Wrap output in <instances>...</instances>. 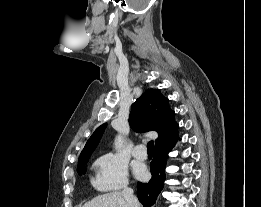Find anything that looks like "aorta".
Instances as JSON below:
<instances>
[{"instance_id":"762f6f07","label":"aorta","mask_w":261,"mask_h":207,"mask_svg":"<svg viewBox=\"0 0 261 207\" xmlns=\"http://www.w3.org/2000/svg\"><path fill=\"white\" fill-rule=\"evenodd\" d=\"M123 142H124V139L121 135H118L116 138H115V142H114V145H115V149H119L122 147L123 145Z\"/></svg>"}]
</instances>
